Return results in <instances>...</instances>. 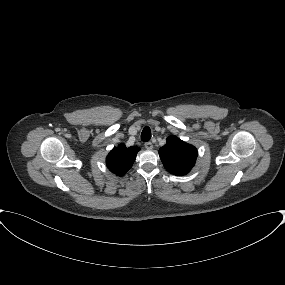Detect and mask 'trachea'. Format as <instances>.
I'll return each mask as SVG.
<instances>
[{
	"label": "trachea",
	"mask_w": 285,
	"mask_h": 285,
	"mask_svg": "<svg viewBox=\"0 0 285 285\" xmlns=\"http://www.w3.org/2000/svg\"><path fill=\"white\" fill-rule=\"evenodd\" d=\"M151 139V129L148 126H145L141 133V140L148 142Z\"/></svg>",
	"instance_id": "3493384b"
}]
</instances>
